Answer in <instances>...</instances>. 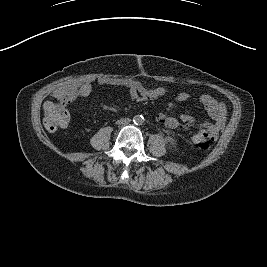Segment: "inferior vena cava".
<instances>
[{
  "label": "inferior vena cava",
  "instance_id": "602c4592",
  "mask_svg": "<svg viewBox=\"0 0 267 267\" xmlns=\"http://www.w3.org/2000/svg\"><path fill=\"white\" fill-rule=\"evenodd\" d=\"M129 120H125L124 122H128Z\"/></svg>",
  "mask_w": 267,
  "mask_h": 267
}]
</instances>
